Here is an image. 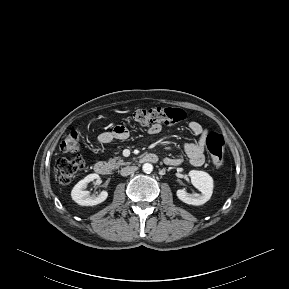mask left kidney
Segmentation results:
<instances>
[{"label":"left kidney","instance_id":"obj_1","mask_svg":"<svg viewBox=\"0 0 289 289\" xmlns=\"http://www.w3.org/2000/svg\"><path fill=\"white\" fill-rule=\"evenodd\" d=\"M192 184L201 192L195 194H189L183 189H179L176 192L177 197L184 203L189 205H202L206 203L213 192V179L212 177L203 171L191 170L189 172Z\"/></svg>","mask_w":289,"mask_h":289}]
</instances>
